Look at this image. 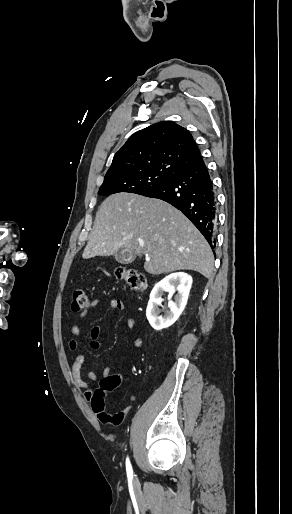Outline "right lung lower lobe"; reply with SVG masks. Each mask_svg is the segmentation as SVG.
<instances>
[{
    "instance_id": "right-lung-lower-lobe-1",
    "label": "right lung lower lobe",
    "mask_w": 292,
    "mask_h": 514,
    "mask_svg": "<svg viewBox=\"0 0 292 514\" xmlns=\"http://www.w3.org/2000/svg\"><path fill=\"white\" fill-rule=\"evenodd\" d=\"M143 196L164 200L182 211L213 248L217 199L204 161L172 174Z\"/></svg>"
}]
</instances>
